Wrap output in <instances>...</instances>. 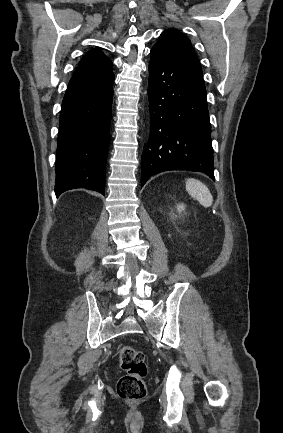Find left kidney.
Instances as JSON below:
<instances>
[{
  "mask_svg": "<svg viewBox=\"0 0 283 433\" xmlns=\"http://www.w3.org/2000/svg\"><path fill=\"white\" fill-rule=\"evenodd\" d=\"M184 208H185V207H184L183 204H180V205L177 206V209H178L179 212L183 211Z\"/></svg>",
  "mask_w": 283,
  "mask_h": 433,
  "instance_id": "5707ae66",
  "label": "left kidney"
}]
</instances>
